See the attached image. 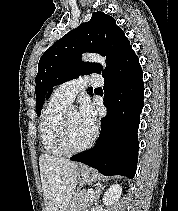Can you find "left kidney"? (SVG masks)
<instances>
[{"mask_svg": "<svg viewBox=\"0 0 178 211\" xmlns=\"http://www.w3.org/2000/svg\"><path fill=\"white\" fill-rule=\"evenodd\" d=\"M122 193V187L119 184L111 185L103 196V203L106 206H112L120 198Z\"/></svg>", "mask_w": 178, "mask_h": 211, "instance_id": "left-kidney-1", "label": "left kidney"}]
</instances>
